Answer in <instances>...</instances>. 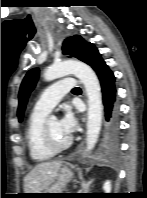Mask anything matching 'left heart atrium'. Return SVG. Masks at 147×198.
Listing matches in <instances>:
<instances>
[{
	"instance_id": "1",
	"label": "left heart atrium",
	"mask_w": 147,
	"mask_h": 198,
	"mask_svg": "<svg viewBox=\"0 0 147 198\" xmlns=\"http://www.w3.org/2000/svg\"><path fill=\"white\" fill-rule=\"evenodd\" d=\"M61 131L68 138L71 137L76 128V120L70 111H66L61 120L59 121Z\"/></svg>"
}]
</instances>
